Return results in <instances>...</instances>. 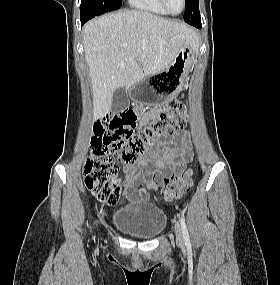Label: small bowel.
Masks as SVG:
<instances>
[{"label":"small bowel","instance_id":"obj_1","mask_svg":"<svg viewBox=\"0 0 280 285\" xmlns=\"http://www.w3.org/2000/svg\"><path fill=\"white\" fill-rule=\"evenodd\" d=\"M155 113H146L141 123H145ZM192 157V147L186 132H176L171 137L163 135L149 149L148 154L139 157L134 163H125L127 197L135 201L148 200V190L158 188L183 171Z\"/></svg>","mask_w":280,"mask_h":285}]
</instances>
